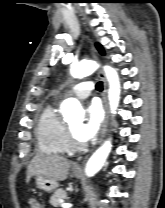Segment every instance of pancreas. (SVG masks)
Here are the masks:
<instances>
[{
	"label": "pancreas",
	"instance_id": "obj_1",
	"mask_svg": "<svg viewBox=\"0 0 165 208\" xmlns=\"http://www.w3.org/2000/svg\"><path fill=\"white\" fill-rule=\"evenodd\" d=\"M66 198H67L66 191L63 189H58L51 196L49 203L53 205L54 207H59L62 204L60 200L66 199Z\"/></svg>",
	"mask_w": 165,
	"mask_h": 208
}]
</instances>
